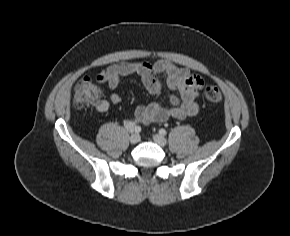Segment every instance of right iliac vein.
Here are the masks:
<instances>
[{
	"instance_id": "obj_1",
	"label": "right iliac vein",
	"mask_w": 290,
	"mask_h": 236,
	"mask_svg": "<svg viewBox=\"0 0 290 236\" xmlns=\"http://www.w3.org/2000/svg\"><path fill=\"white\" fill-rule=\"evenodd\" d=\"M129 140H130L131 143L135 144V143H137V142L140 141V136H139V134H137V133H133V134L130 136Z\"/></svg>"
}]
</instances>
